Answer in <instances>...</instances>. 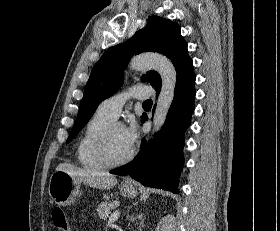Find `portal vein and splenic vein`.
<instances>
[{
  "instance_id": "18ae733b",
  "label": "portal vein and splenic vein",
  "mask_w": 280,
  "mask_h": 231,
  "mask_svg": "<svg viewBox=\"0 0 280 231\" xmlns=\"http://www.w3.org/2000/svg\"><path fill=\"white\" fill-rule=\"evenodd\" d=\"M120 215V211H118V209H116V211H113V213H111L108 221H107V225H113L114 221H116V219H118Z\"/></svg>"
}]
</instances>
